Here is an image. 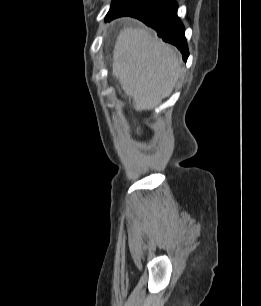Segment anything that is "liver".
Returning a JSON list of instances; mask_svg holds the SVG:
<instances>
[{
	"mask_svg": "<svg viewBox=\"0 0 261 306\" xmlns=\"http://www.w3.org/2000/svg\"><path fill=\"white\" fill-rule=\"evenodd\" d=\"M181 64L176 50L149 30L124 28L115 43L112 74L137 111L150 110L171 94Z\"/></svg>",
	"mask_w": 261,
	"mask_h": 306,
	"instance_id": "obj_1",
	"label": "liver"
}]
</instances>
